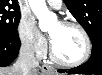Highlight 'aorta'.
<instances>
[{"label": "aorta", "instance_id": "762f6f07", "mask_svg": "<svg viewBox=\"0 0 102 75\" xmlns=\"http://www.w3.org/2000/svg\"><path fill=\"white\" fill-rule=\"evenodd\" d=\"M29 5L39 20V27L41 30H47L57 21L56 15L48 10L45 0H29Z\"/></svg>", "mask_w": 102, "mask_h": 75}]
</instances>
